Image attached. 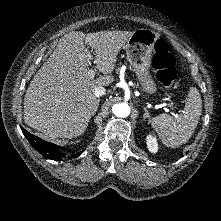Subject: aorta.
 Returning <instances> with one entry per match:
<instances>
[{
  "instance_id": "762f6f07",
  "label": "aorta",
  "mask_w": 221,
  "mask_h": 221,
  "mask_svg": "<svg viewBox=\"0 0 221 221\" xmlns=\"http://www.w3.org/2000/svg\"><path fill=\"white\" fill-rule=\"evenodd\" d=\"M112 112L115 116L124 118L130 114V107L127 103L114 104Z\"/></svg>"
}]
</instances>
